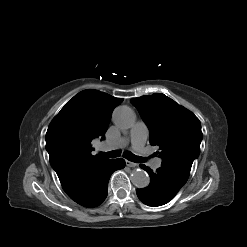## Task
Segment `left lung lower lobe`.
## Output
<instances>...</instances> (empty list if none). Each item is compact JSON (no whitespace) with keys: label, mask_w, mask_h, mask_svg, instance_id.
<instances>
[{"label":"left lung lower lobe","mask_w":247,"mask_h":247,"mask_svg":"<svg viewBox=\"0 0 247 247\" xmlns=\"http://www.w3.org/2000/svg\"><path fill=\"white\" fill-rule=\"evenodd\" d=\"M150 176V184L143 189H137L138 198L148 206H161L168 203L185 184L170 171L160 167L156 172L141 164Z\"/></svg>","instance_id":"obj_1"}]
</instances>
